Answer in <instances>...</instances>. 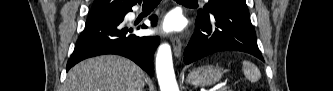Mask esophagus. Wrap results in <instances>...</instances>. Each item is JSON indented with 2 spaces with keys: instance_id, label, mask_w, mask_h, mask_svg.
Listing matches in <instances>:
<instances>
[{
  "instance_id": "esophagus-1",
  "label": "esophagus",
  "mask_w": 333,
  "mask_h": 91,
  "mask_svg": "<svg viewBox=\"0 0 333 91\" xmlns=\"http://www.w3.org/2000/svg\"><path fill=\"white\" fill-rule=\"evenodd\" d=\"M172 44H173V50H174V55L176 57H180L181 55V50H182V43L179 37H175L172 40Z\"/></svg>"
}]
</instances>
